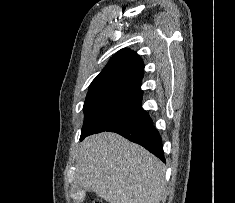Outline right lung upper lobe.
Listing matches in <instances>:
<instances>
[{
	"label": "right lung upper lobe",
	"instance_id": "obj_1",
	"mask_svg": "<svg viewBox=\"0 0 235 203\" xmlns=\"http://www.w3.org/2000/svg\"><path fill=\"white\" fill-rule=\"evenodd\" d=\"M143 72L144 64L137 53L122 49L110 59L106 67L92 81L89 88L111 84L140 86Z\"/></svg>",
	"mask_w": 235,
	"mask_h": 203
}]
</instances>
